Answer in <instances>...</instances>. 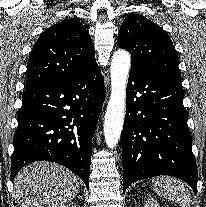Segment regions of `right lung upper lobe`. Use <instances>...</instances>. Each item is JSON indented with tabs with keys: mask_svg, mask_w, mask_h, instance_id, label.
<instances>
[{
	"mask_svg": "<svg viewBox=\"0 0 206 207\" xmlns=\"http://www.w3.org/2000/svg\"><path fill=\"white\" fill-rule=\"evenodd\" d=\"M97 66L89 32L78 20L65 19L36 41L27 64L26 88L70 80Z\"/></svg>",
	"mask_w": 206,
	"mask_h": 207,
	"instance_id": "obj_1",
	"label": "right lung upper lobe"
}]
</instances>
